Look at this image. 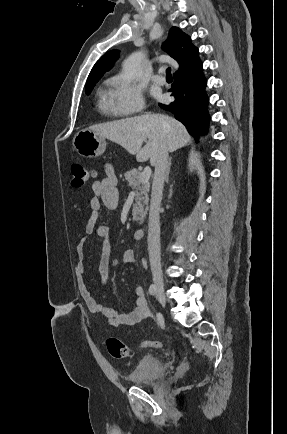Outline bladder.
Returning a JSON list of instances; mask_svg holds the SVG:
<instances>
[{
	"label": "bladder",
	"mask_w": 287,
	"mask_h": 434,
	"mask_svg": "<svg viewBox=\"0 0 287 434\" xmlns=\"http://www.w3.org/2000/svg\"><path fill=\"white\" fill-rule=\"evenodd\" d=\"M168 371L167 363L156 355L145 356L127 375L126 379L137 386H152Z\"/></svg>",
	"instance_id": "31cf9c89"
}]
</instances>
